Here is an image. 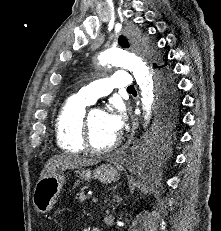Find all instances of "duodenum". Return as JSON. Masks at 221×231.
Listing matches in <instances>:
<instances>
[{"mask_svg":"<svg viewBox=\"0 0 221 231\" xmlns=\"http://www.w3.org/2000/svg\"><path fill=\"white\" fill-rule=\"evenodd\" d=\"M91 231H101V229L98 227H92Z\"/></svg>","mask_w":221,"mask_h":231,"instance_id":"obj_1","label":"duodenum"}]
</instances>
